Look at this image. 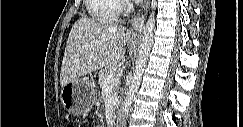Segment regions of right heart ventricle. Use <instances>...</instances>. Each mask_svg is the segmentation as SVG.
I'll list each match as a JSON object with an SVG mask.
<instances>
[{"label": "right heart ventricle", "instance_id": "1", "mask_svg": "<svg viewBox=\"0 0 243 127\" xmlns=\"http://www.w3.org/2000/svg\"><path fill=\"white\" fill-rule=\"evenodd\" d=\"M86 9L97 22H113L117 18L118 3L116 0H87Z\"/></svg>", "mask_w": 243, "mask_h": 127}]
</instances>
